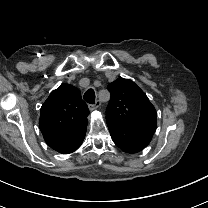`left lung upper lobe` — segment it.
Segmentation results:
<instances>
[{"label":"left lung upper lobe","mask_w":208,"mask_h":208,"mask_svg":"<svg viewBox=\"0 0 208 208\" xmlns=\"http://www.w3.org/2000/svg\"><path fill=\"white\" fill-rule=\"evenodd\" d=\"M111 93L106 121L130 129L151 141L156 130V110L146 94L130 79L118 78L108 85Z\"/></svg>","instance_id":"5c2ea615"}]
</instances>
